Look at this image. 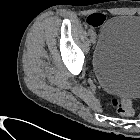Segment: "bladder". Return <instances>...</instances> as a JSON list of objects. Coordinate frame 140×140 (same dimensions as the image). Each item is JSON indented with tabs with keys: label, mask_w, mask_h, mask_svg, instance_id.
<instances>
[{
	"label": "bladder",
	"mask_w": 140,
	"mask_h": 140,
	"mask_svg": "<svg viewBox=\"0 0 140 140\" xmlns=\"http://www.w3.org/2000/svg\"><path fill=\"white\" fill-rule=\"evenodd\" d=\"M92 69L105 91L123 98L140 97V15H116L104 24Z\"/></svg>",
	"instance_id": "31cf9c89"
}]
</instances>
